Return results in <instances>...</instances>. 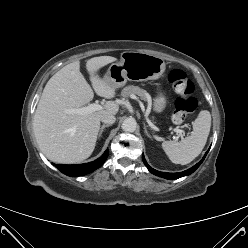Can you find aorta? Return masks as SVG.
<instances>
[{
	"mask_svg": "<svg viewBox=\"0 0 248 248\" xmlns=\"http://www.w3.org/2000/svg\"><path fill=\"white\" fill-rule=\"evenodd\" d=\"M122 129L125 132H134L137 127V122L134 118H126L122 123Z\"/></svg>",
	"mask_w": 248,
	"mask_h": 248,
	"instance_id": "aorta-1",
	"label": "aorta"
}]
</instances>
